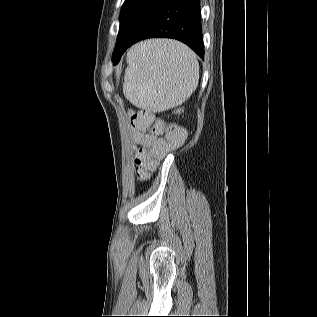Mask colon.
<instances>
[{"label":"colon","mask_w":317,"mask_h":317,"mask_svg":"<svg viewBox=\"0 0 317 317\" xmlns=\"http://www.w3.org/2000/svg\"><path fill=\"white\" fill-rule=\"evenodd\" d=\"M131 121L133 126L141 132L165 134L164 137L158 138L154 142L151 150L141 151L137 154L134 161L135 173L138 178L144 179L156 168L159 160L183 143L185 132L176 125H166L154 113L147 110L133 113Z\"/></svg>","instance_id":"colon-1"}]
</instances>
